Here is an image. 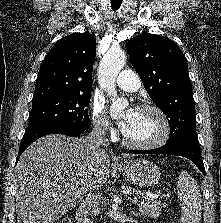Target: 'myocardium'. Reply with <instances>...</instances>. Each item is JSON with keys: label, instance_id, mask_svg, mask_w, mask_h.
Listing matches in <instances>:
<instances>
[{"label": "myocardium", "instance_id": "myocardium-1", "mask_svg": "<svg viewBox=\"0 0 221 223\" xmlns=\"http://www.w3.org/2000/svg\"><path fill=\"white\" fill-rule=\"evenodd\" d=\"M137 109L139 111L153 112L159 117V119L162 123L161 134L157 139H155L151 142L138 143V142H134V141L128 139L123 132L122 133L123 144H125L126 146H128L130 148L137 149V150H154V149H157V148L163 146L168 141L170 134H171V124H170V120H169L168 116L165 114V112L162 109H160L159 107H157L155 105H151V104L140 105Z\"/></svg>", "mask_w": 221, "mask_h": 223}]
</instances>
